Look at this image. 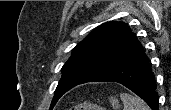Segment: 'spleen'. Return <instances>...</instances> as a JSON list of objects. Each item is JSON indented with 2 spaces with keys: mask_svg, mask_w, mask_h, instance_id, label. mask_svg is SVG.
Masks as SVG:
<instances>
[{
  "mask_svg": "<svg viewBox=\"0 0 171 110\" xmlns=\"http://www.w3.org/2000/svg\"><path fill=\"white\" fill-rule=\"evenodd\" d=\"M120 98L124 105V110H150L147 104L139 97L122 93Z\"/></svg>",
  "mask_w": 171,
  "mask_h": 110,
  "instance_id": "obj_1",
  "label": "spleen"
}]
</instances>
